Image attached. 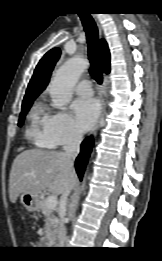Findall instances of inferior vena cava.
Returning <instances> with one entry per match:
<instances>
[{
    "instance_id": "1",
    "label": "inferior vena cava",
    "mask_w": 162,
    "mask_h": 261,
    "mask_svg": "<svg viewBox=\"0 0 162 261\" xmlns=\"http://www.w3.org/2000/svg\"><path fill=\"white\" fill-rule=\"evenodd\" d=\"M82 137L83 136L81 132L79 131L74 132L71 135L67 144L63 147L64 149L63 157L70 166H73L74 160L80 151V144L82 142ZM69 193L70 191H67L62 195L61 203L64 206L66 205L67 197ZM65 243H66V232L64 228V220L61 219L60 247H64Z\"/></svg>"
}]
</instances>
